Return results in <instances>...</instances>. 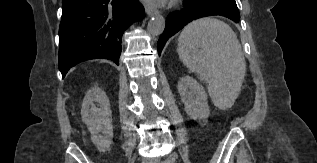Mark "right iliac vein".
I'll return each mask as SVG.
<instances>
[{
  "instance_id": "obj_1",
  "label": "right iliac vein",
  "mask_w": 317,
  "mask_h": 163,
  "mask_svg": "<svg viewBox=\"0 0 317 163\" xmlns=\"http://www.w3.org/2000/svg\"><path fill=\"white\" fill-rule=\"evenodd\" d=\"M142 163H148L147 161H143Z\"/></svg>"
}]
</instances>
